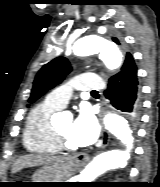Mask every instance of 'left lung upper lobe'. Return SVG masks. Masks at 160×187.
Instances as JSON below:
<instances>
[{
	"instance_id": "5c2ea615",
	"label": "left lung upper lobe",
	"mask_w": 160,
	"mask_h": 187,
	"mask_svg": "<svg viewBox=\"0 0 160 187\" xmlns=\"http://www.w3.org/2000/svg\"><path fill=\"white\" fill-rule=\"evenodd\" d=\"M114 42L120 44L119 40L115 37L112 38ZM131 55L129 52L125 54V58ZM71 71L69 62L64 57H58L45 64L36 75L34 80L33 89L29 102H35L40 96L46 93L55 85L61 83L64 77Z\"/></svg>"
}]
</instances>
